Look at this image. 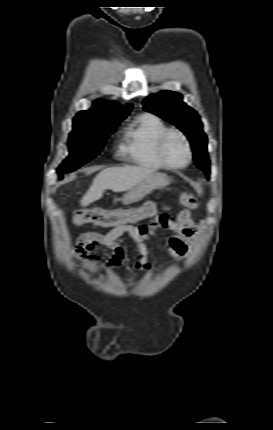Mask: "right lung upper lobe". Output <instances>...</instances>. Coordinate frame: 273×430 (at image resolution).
Wrapping results in <instances>:
<instances>
[{
  "mask_svg": "<svg viewBox=\"0 0 273 430\" xmlns=\"http://www.w3.org/2000/svg\"><path fill=\"white\" fill-rule=\"evenodd\" d=\"M131 107V104L123 108L118 103H108L98 100L94 102L90 110L79 112L75 119L91 122L119 123L130 113Z\"/></svg>",
  "mask_w": 273,
  "mask_h": 430,
  "instance_id": "1",
  "label": "right lung upper lobe"
}]
</instances>
